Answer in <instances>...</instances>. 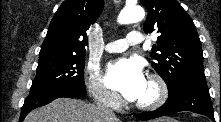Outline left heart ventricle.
Segmentation results:
<instances>
[{
    "mask_svg": "<svg viewBox=\"0 0 221 122\" xmlns=\"http://www.w3.org/2000/svg\"><path fill=\"white\" fill-rule=\"evenodd\" d=\"M154 95H155V89H154L153 85L147 81L146 88H145L143 94L137 100V102L148 101L151 98H153Z\"/></svg>",
    "mask_w": 221,
    "mask_h": 122,
    "instance_id": "b2bd125f",
    "label": "left heart ventricle"
}]
</instances>
